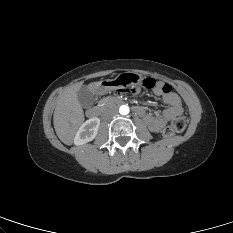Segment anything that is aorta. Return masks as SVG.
Segmentation results:
<instances>
[{
  "instance_id": "aorta-1",
  "label": "aorta",
  "mask_w": 233,
  "mask_h": 233,
  "mask_svg": "<svg viewBox=\"0 0 233 233\" xmlns=\"http://www.w3.org/2000/svg\"><path fill=\"white\" fill-rule=\"evenodd\" d=\"M129 107L127 106V105H122V106H120V108H119V113L121 114V115H127L128 113H129Z\"/></svg>"
}]
</instances>
